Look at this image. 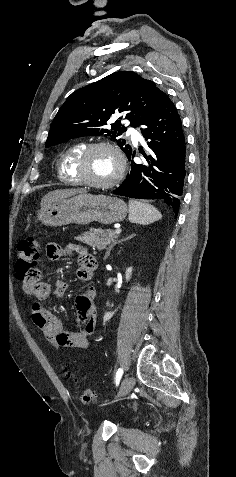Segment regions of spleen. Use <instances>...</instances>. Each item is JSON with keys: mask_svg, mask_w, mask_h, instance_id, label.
<instances>
[{"mask_svg": "<svg viewBox=\"0 0 236 477\" xmlns=\"http://www.w3.org/2000/svg\"><path fill=\"white\" fill-rule=\"evenodd\" d=\"M162 218L161 213L151 204L138 201H129V221L140 225H148Z\"/></svg>", "mask_w": 236, "mask_h": 477, "instance_id": "1", "label": "spleen"}]
</instances>
